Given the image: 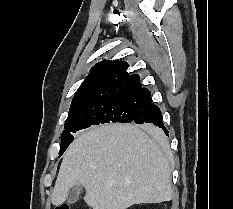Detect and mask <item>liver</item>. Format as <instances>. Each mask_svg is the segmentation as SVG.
<instances>
[{"label":"liver","instance_id":"liver-1","mask_svg":"<svg viewBox=\"0 0 233 209\" xmlns=\"http://www.w3.org/2000/svg\"><path fill=\"white\" fill-rule=\"evenodd\" d=\"M144 130L162 136L157 127ZM144 130L118 123L80 134L64 154L52 204L65 202L69 190L78 184L85 188L84 200L93 209H127L134 204L170 201L169 161Z\"/></svg>","mask_w":233,"mask_h":209}]
</instances>
